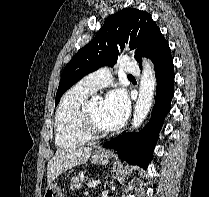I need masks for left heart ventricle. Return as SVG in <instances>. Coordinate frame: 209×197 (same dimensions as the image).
Returning <instances> with one entry per match:
<instances>
[{
	"instance_id": "b2bd125f",
	"label": "left heart ventricle",
	"mask_w": 209,
	"mask_h": 197,
	"mask_svg": "<svg viewBox=\"0 0 209 197\" xmlns=\"http://www.w3.org/2000/svg\"><path fill=\"white\" fill-rule=\"evenodd\" d=\"M102 101L96 100L89 103V113L93 124L97 129L105 130L110 129V127L104 122L101 115Z\"/></svg>"
}]
</instances>
